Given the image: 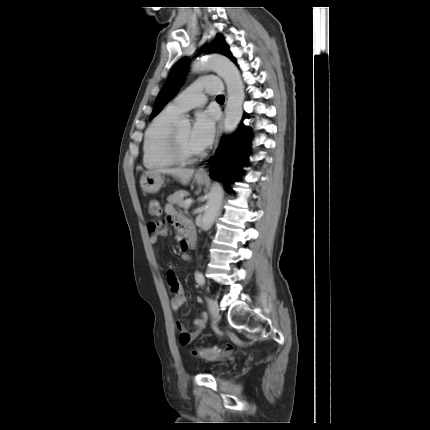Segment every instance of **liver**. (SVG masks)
Listing matches in <instances>:
<instances>
[{
	"mask_svg": "<svg viewBox=\"0 0 430 430\" xmlns=\"http://www.w3.org/2000/svg\"><path fill=\"white\" fill-rule=\"evenodd\" d=\"M148 172H156V173L172 175L174 177H178L183 182V184H187L194 173V169H187V168L169 169L168 168V169H157V170L147 171L145 173H148Z\"/></svg>",
	"mask_w": 430,
	"mask_h": 430,
	"instance_id": "obj_1",
	"label": "liver"
}]
</instances>
